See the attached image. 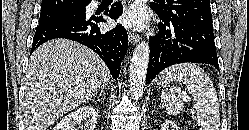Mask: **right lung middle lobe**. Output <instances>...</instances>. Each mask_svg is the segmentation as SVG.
<instances>
[{
    "label": "right lung middle lobe",
    "mask_w": 249,
    "mask_h": 130,
    "mask_svg": "<svg viewBox=\"0 0 249 130\" xmlns=\"http://www.w3.org/2000/svg\"><path fill=\"white\" fill-rule=\"evenodd\" d=\"M87 3H80L76 7L61 10H41L39 24L55 21L75 19L86 16Z\"/></svg>",
    "instance_id": "obj_1"
}]
</instances>
